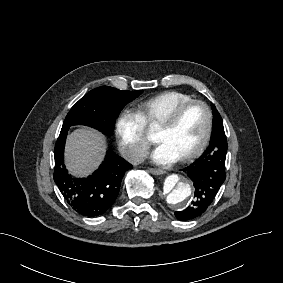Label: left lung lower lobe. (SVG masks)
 <instances>
[{
  "instance_id": "obj_1",
  "label": "left lung lower lobe",
  "mask_w": 283,
  "mask_h": 283,
  "mask_svg": "<svg viewBox=\"0 0 283 283\" xmlns=\"http://www.w3.org/2000/svg\"><path fill=\"white\" fill-rule=\"evenodd\" d=\"M227 140L223 122L213 119L209 147L194 163L184 168L195 187L194 200L183 211L175 212L177 219L186 221L202 215L212 204L225 181Z\"/></svg>"
}]
</instances>
